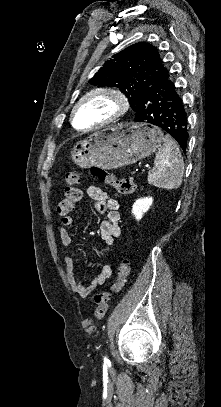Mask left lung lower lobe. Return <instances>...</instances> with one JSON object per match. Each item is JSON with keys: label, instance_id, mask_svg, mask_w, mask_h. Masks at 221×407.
<instances>
[{"label": "left lung lower lobe", "instance_id": "obj_1", "mask_svg": "<svg viewBox=\"0 0 221 407\" xmlns=\"http://www.w3.org/2000/svg\"><path fill=\"white\" fill-rule=\"evenodd\" d=\"M134 119L162 128L185 151L189 136L187 113L180 92L168 71L140 92Z\"/></svg>", "mask_w": 221, "mask_h": 407}]
</instances>
